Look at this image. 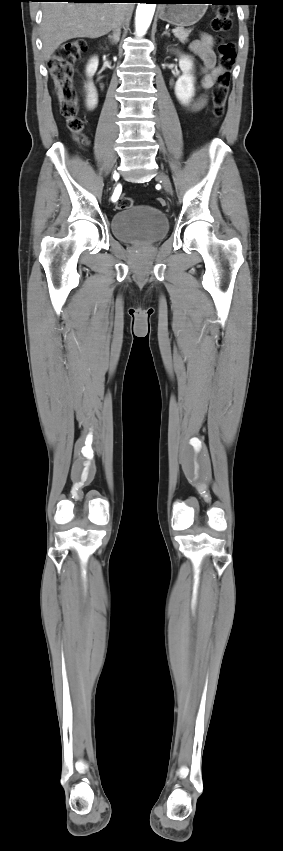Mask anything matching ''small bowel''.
Instances as JSON below:
<instances>
[{
	"label": "small bowel",
	"mask_w": 283,
	"mask_h": 851,
	"mask_svg": "<svg viewBox=\"0 0 283 851\" xmlns=\"http://www.w3.org/2000/svg\"><path fill=\"white\" fill-rule=\"evenodd\" d=\"M191 49L203 62L201 86L203 89H210L220 72V68L216 64L212 36L202 33L198 39L192 42ZM206 103L207 97L202 96L193 104L186 106V108L190 111H199L204 108Z\"/></svg>",
	"instance_id": "obj_1"
}]
</instances>
